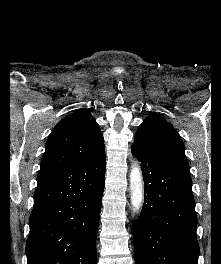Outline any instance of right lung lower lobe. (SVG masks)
I'll return each mask as SVG.
<instances>
[{"label":"right lung lower lobe","mask_w":221,"mask_h":264,"mask_svg":"<svg viewBox=\"0 0 221 264\" xmlns=\"http://www.w3.org/2000/svg\"><path fill=\"white\" fill-rule=\"evenodd\" d=\"M105 154L40 172L26 244L28 264H96Z\"/></svg>","instance_id":"obj_1"}]
</instances>
